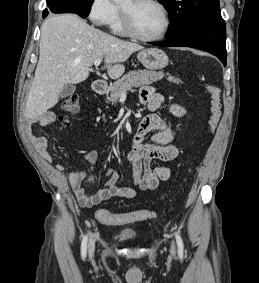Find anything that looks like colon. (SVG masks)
<instances>
[{"label": "colon", "instance_id": "1", "mask_svg": "<svg viewBox=\"0 0 259 283\" xmlns=\"http://www.w3.org/2000/svg\"><path fill=\"white\" fill-rule=\"evenodd\" d=\"M205 89L210 96V115L208 119V131L213 132L219 122L221 115V93L220 90L210 84L205 85ZM80 110V102L77 95L67 97L61 104V122L69 124V117L77 114ZM191 168L188 170L190 174ZM154 213L148 210H138L123 214L110 213L105 209H100L96 213L97 220L107 226H118L135 221H142L152 218Z\"/></svg>", "mask_w": 259, "mask_h": 283}]
</instances>
